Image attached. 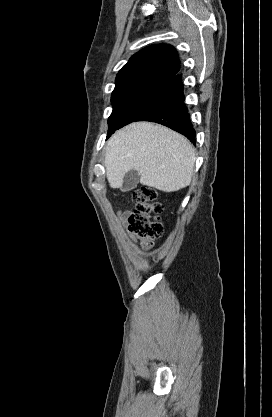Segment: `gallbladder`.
<instances>
[{
  "mask_svg": "<svg viewBox=\"0 0 272 417\" xmlns=\"http://www.w3.org/2000/svg\"><path fill=\"white\" fill-rule=\"evenodd\" d=\"M139 180V174L136 170L128 171L123 179V183L121 186V191L128 192L134 188H136Z\"/></svg>",
  "mask_w": 272,
  "mask_h": 417,
  "instance_id": "1",
  "label": "gallbladder"
}]
</instances>
